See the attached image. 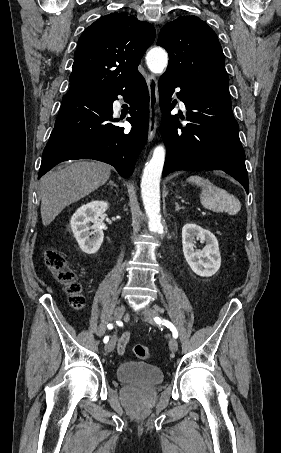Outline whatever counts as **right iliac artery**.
Instances as JSON below:
<instances>
[{
  "label": "right iliac artery",
  "mask_w": 281,
  "mask_h": 453,
  "mask_svg": "<svg viewBox=\"0 0 281 453\" xmlns=\"http://www.w3.org/2000/svg\"><path fill=\"white\" fill-rule=\"evenodd\" d=\"M107 327H108V329H112V328H113V325H112V324H108ZM108 340H109V337H108V336H105L103 341H104V343H107Z\"/></svg>",
  "instance_id": "obj_1"
}]
</instances>
